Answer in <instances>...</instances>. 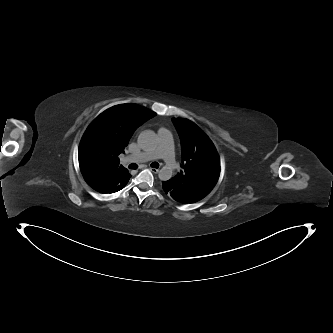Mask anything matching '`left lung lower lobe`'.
I'll return each instance as SVG.
<instances>
[{
  "instance_id": "left-lung-lower-lobe-1",
  "label": "left lung lower lobe",
  "mask_w": 333,
  "mask_h": 333,
  "mask_svg": "<svg viewBox=\"0 0 333 333\" xmlns=\"http://www.w3.org/2000/svg\"><path fill=\"white\" fill-rule=\"evenodd\" d=\"M162 191L169 197L173 198L175 201L182 204H192L195 201L189 199L183 193H181L178 189L172 188L170 184V180L162 181Z\"/></svg>"
}]
</instances>
